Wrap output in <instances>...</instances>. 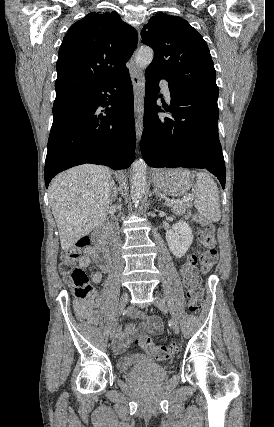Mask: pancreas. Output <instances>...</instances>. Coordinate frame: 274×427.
Wrapping results in <instances>:
<instances>
[{
  "mask_svg": "<svg viewBox=\"0 0 274 427\" xmlns=\"http://www.w3.org/2000/svg\"><path fill=\"white\" fill-rule=\"evenodd\" d=\"M168 206L172 208L176 215L186 214V212H189L190 208H192L190 202H184V204H168Z\"/></svg>",
  "mask_w": 274,
  "mask_h": 427,
  "instance_id": "pancreas-1",
  "label": "pancreas"
}]
</instances>
